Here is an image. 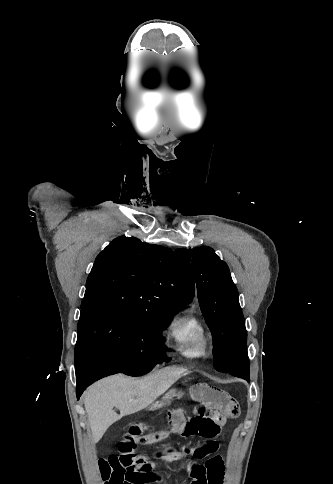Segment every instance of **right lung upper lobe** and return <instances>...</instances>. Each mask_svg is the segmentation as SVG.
<instances>
[{"mask_svg":"<svg viewBox=\"0 0 333 484\" xmlns=\"http://www.w3.org/2000/svg\"><path fill=\"white\" fill-rule=\"evenodd\" d=\"M193 296L192 275L174 251L135 237H118L97 256L81 308L116 306L177 312Z\"/></svg>","mask_w":333,"mask_h":484,"instance_id":"right-lung-upper-lobe-1","label":"right lung upper lobe"}]
</instances>
